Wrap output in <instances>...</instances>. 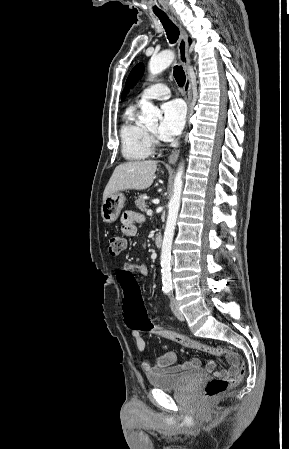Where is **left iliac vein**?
<instances>
[{"label": "left iliac vein", "instance_id": "left-iliac-vein-1", "mask_svg": "<svg viewBox=\"0 0 289 449\" xmlns=\"http://www.w3.org/2000/svg\"><path fill=\"white\" fill-rule=\"evenodd\" d=\"M170 306H171V309H172L174 315H175L179 320L183 321V320H184V316H183L182 312L180 311V309H179V307H178V305H177L176 300H175L173 297L171 298Z\"/></svg>", "mask_w": 289, "mask_h": 449}]
</instances>
